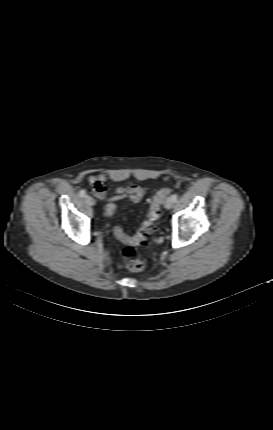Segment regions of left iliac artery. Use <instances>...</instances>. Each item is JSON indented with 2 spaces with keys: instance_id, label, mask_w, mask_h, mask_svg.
<instances>
[{
  "instance_id": "44dca946",
  "label": "left iliac artery",
  "mask_w": 273,
  "mask_h": 430,
  "mask_svg": "<svg viewBox=\"0 0 273 430\" xmlns=\"http://www.w3.org/2000/svg\"><path fill=\"white\" fill-rule=\"evenodd\" d=\"M171 198L173 199L174 202L177 201L178 195L175 193L171 196Z\"/></svg>"
}]
</instances>
